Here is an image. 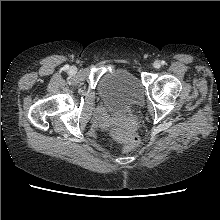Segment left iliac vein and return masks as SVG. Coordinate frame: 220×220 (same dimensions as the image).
<instances>
[{"label": "left iliac vein", "mask_w": 220, "mask_h": 220, "mask_svg": "<svg viewBox=\"0 0 220 220\" xmlns=\"http://www.w3.org/2000/svg\"><path fill=\"white\" fill-rule=\"evenodd\" d=\"M153 66L158 69V68H160L161 64L159 61H155Z\"/></svg>", "instance_id": "1"}]
</instances>
